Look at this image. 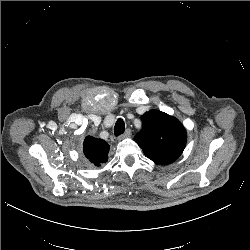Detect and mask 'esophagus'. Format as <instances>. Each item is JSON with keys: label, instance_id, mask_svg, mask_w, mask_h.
<instances>
[{"label": "esophagus", "instance_id": "obj_1", "mask_svg": "<svg viewBox=\"0 0 250 250\" xmlns=\"http://www.w3.org/2000/svg\"><path fill=\"white\" fill-rule=\"evenodd\" d=\"M131 136V130L127 129L124 134L118 137V140H122Z\"/></svg>", "mask_w": 250, "mask_h": 250}]
</instances>
